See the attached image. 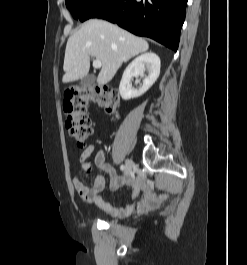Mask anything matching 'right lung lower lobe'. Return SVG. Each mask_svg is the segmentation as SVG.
<instances>
[{"mask_svg": "<svg viewBox=\"0 0 247 265\" xmlns=\"http://www.w3.org/2000/svg\"><path fill=\"white\" fill-rule=\"evenodd\" d=\"M187 0H100L81 18H102L178 49Z\"/></svg>", "mask_w": 247, "mask_h": 265, "instance_id": "obj_1", "label": "right lung lower lobe"}]
</instances>
